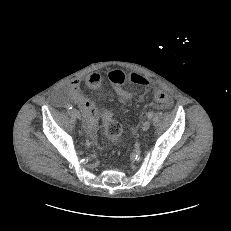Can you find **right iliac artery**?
<instances>
[{
  "instance_id": "1",
  "label": "right iliac artery",
  "mask_w": 231,
  "mask_h": 231,
  "mask_svg": "<svg viewBox=\"0 0 231 231\" xmlns=\"http://www.w3.org/2000/svg\"><path fill=\"white\" fill-rule=\"evenodd\" d=\"M66 108L70 110V109H72V105L71 104H67Z\"/></svg>"
}]
</instances>
